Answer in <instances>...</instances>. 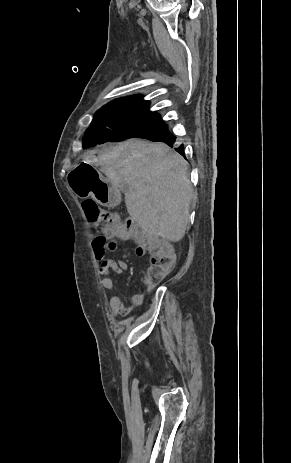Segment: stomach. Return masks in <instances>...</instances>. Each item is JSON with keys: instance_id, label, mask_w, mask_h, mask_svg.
<instances>
[{"instance_id": "0dacf381", "label": "stomach", "mask_w": 291, "mask_h": 463, "mask_svg": "<svg viewBox=\"0 0 291 463\" xmlns=\"http://www.w3.org/2000/svg\"><path fill=\"white\" fill-rule=\"evenodd\" d=\"M69 185L81 198L91 196L103 206H114L119 202L118 188L88 164H82L68 175Z\"/></svg>"}]
</instances>
